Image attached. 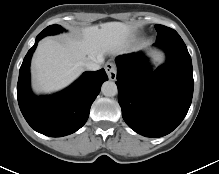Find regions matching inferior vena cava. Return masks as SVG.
<instances>
[{"label": "inferior vena cava", "mask_w": 219, "mask_h": 174, "mask_svg": "<svg viewBox=\"0 0 219 174\" xmlns=\"http://www.w3.org/2000/svg\"><path fill=\"white\" fill-rule=\"evenodd\" d=\"M104 61V59L98 58L96 61H89L84 64L86 70L96 71L100 69V64Z\"/></svg>", "instance_id": "602c4592"}]
</instances>
